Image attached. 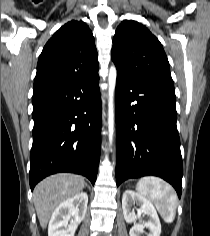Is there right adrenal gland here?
Wrapping results in <instances>:
<instances>
[{
    "label": "right adrenal gland",
    "instance_id": "right-adrenal-gland-1",
    "mask_svg": "<svg viewBox=\"0 0 210 236\" xmlns=\"http://www.w3.org/2000/svg\"><path fill=\"white\" fill-rule=\"evenodd\" d=\"M85 187H87L88 189H90V187L88 186V184H85Z\"/></svg>",
    "mask_w": 210,
    "mask_h": 236
}]
</instances>
